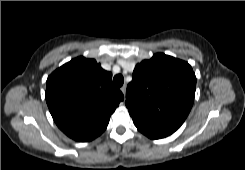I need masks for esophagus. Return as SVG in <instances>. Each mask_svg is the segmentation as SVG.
Segmentation results:
<instances>
[{
  "label": "esophagus",
  "mask_w": 245,
  "mask_h": 170,
  "mask_svg": "<svg viewBox=\"0 0 245 170\" xmlns=\"http://www.w3.org/2000/svg\"><path fill=\"white\" fill-rule=\"evenodd\" d=\"M120 89H121L123 95L125 96V94H126V86L123 85Z\"/></svg>",
  "instance_id": "obj_1"
}]
</instances>
